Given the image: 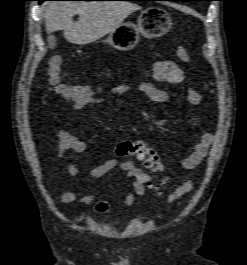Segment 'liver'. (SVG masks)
<instances>
[{
    "instance_id": "liver-1",
    "label": "liver",
    "mask_w": 247,
    "mask_h": 265,
    "mask_svg": "<svg viewBox=\"0 0 247 265\" xmlns=\"http://www.w3.org/2000/svg\"><path fill=\"white\" fill-rule=\"evenodd\" d=\"M139 9L138 5L127 1H54L45 4L44 19L47 32L63 30L67 41L85 45L114 31L128 15ZM76 14L79 19L73 22Z\"/></svg>"
}]
</instances>
